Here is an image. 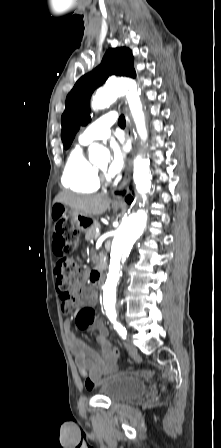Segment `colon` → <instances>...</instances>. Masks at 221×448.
<instances>
[{
	"label": "colon",
	"mask_w": 221,
	"mask_h": 448,
	"mask_svg": "<svg viewBox=\"0 0 221 448\" xmlns=\"http://www.w3.org/2000/svg\"><path fill=\"white\" fill-rule=\"evenodd\" d=\"M57 222L54 228V235L61 241L60 251L61 257L56 266L55 276L56 283L60 290V297L63 301L69 300L72 297V291L78 282L76 277V266L72 259L67 255L73 252L79 243V232L75 227V223L71 218H63L56 216ZM86 316L85 326L93 322L95 311L93 308L87 307L84 311ZM142 378H151L155 372L152 370H141L133 373ZM101 384L99 379H93L85 375L84 386L87 390H92L97 385Z\"/></svg>",
	"instance_id": "1"
}]
</instances>
